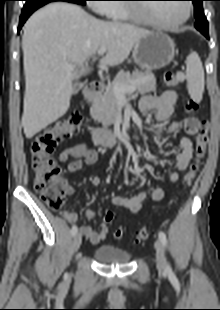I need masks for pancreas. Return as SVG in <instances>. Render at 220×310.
<instances>
[{"label": "pancreas", "mask_w": 220, "mask_h": 310, "mask_svg": "<svg viewBox=\"0 0 220 310\" xmlns=\"http://www.w3.org/2000/svg\"><path fill=\"white\" fill-rule=\"evenodd\" d=\"M116 83L123 86L133 85L135 91L140 94L149 93L156 89V79L150 71L118 74L115 80L105 87L104 92L94 100L90 108L93 120L100 122L105 128L114 123L119 111L118 99L114 92V85Z\"/></svg>", "instance_id": "cf45deb5"}]
</instances>
